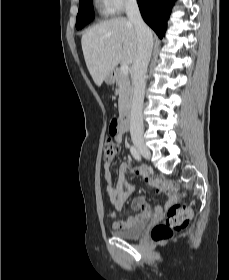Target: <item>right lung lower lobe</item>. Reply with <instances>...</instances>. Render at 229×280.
<instances>
[{"mask_svg":"<svg viewBox=\"0 0 229 280\" xmlns=\"http://www.w3.org/2000/svg\"><path fill=\"white\" fill-rule=\"evenodd\" d=\"M144 21L162 38L174 0H137Z\"/></svg>","mask_w":229,"mask_h":280,"instance_id":"98d812e1","label":"right lung lower lobe"}]
</instances>
